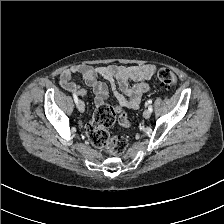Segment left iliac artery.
<instances>
[{
  "mask_svg": "<svg viewBox=\"0 0 224 224\" xmlns=\"http://www.w3.org/2000/svg\"><path fill=\"white\" fill-rule=\"evenodd\" d=\"M148 104H150L148 109L150 110V112H152L153 111L152 105H151L152 104V100H148Z\"/></svg>",
  "mask_w": 224,
  "mask_h": 224,
  "instance_id": "obj_1",
  "label": "left iliac artery"
}]
</instances>
